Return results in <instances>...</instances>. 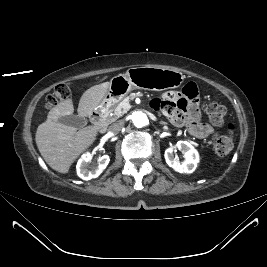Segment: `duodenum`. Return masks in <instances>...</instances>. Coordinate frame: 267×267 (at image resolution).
Listing matches in <instances>:
<instances>
[{
    "label": "duodenum",
    "instance_id": "410a0bca",
    "mask_svg": "<svg viewBox=\"0 0 267 267\" xmlns=\"http://www.w3.org/2000/svg\"><path fill=\"white\" fill-rule=\"evenodd\" d=\"M106 118L107 113L105 109H97L91 114L92 123L100 130H104L106 128Z\"/></svg>",
    "mask_w": 267,
    "mask_h": 267
}]
</instances>
